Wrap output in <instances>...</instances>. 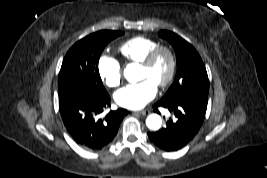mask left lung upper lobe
<instances>
[{
	"label": "left lung upper lobe",
	"mask_w": 267,
	"mask_h": 178,
	"mask_svg": "<svg viewBox=\"0 0 267 178\" xmlns=\"http://www.w3.org/2000/svg\"><path fill=\"white\" fill-rule=\"evenodd\" d=\"M159 36L174 48L177 58V73L173 84L161 99L177 101L195 98L207 102L209 80L206 68L196 49L177 34L161 30Z\"/></svg>",
	"instance_id": "1"
}]
</instances>
